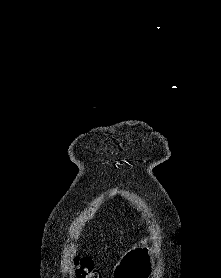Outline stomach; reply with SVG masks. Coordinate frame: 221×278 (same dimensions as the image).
<instances>
[{
	"label": "stomach",
	"instance_id": "1",
	"mask_svg": "<svg viewBox=\"0 0 221 278\" xmlns=\"http://www.w3.org/2000/svg\"><path fill=\"white\" fill-rule=\"evenodd\" d=\"M147 246V239L141 241V245L135 246L127 252V257L116 265L115 278H147L151 275V264L153 257Z\"/></svg>",
	"mask_w": 221,
	"mask_h": 278
}]
</instances>
